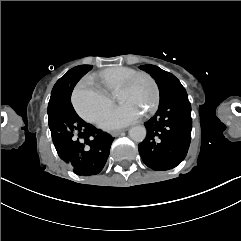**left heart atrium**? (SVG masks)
Masks as SVG:
<instances>
[{
  "label": "left heart atrium",
  "mask_w": 241,
  "mask_h": 241,
  "mask_svg": "<svg viewBox=\"0 0 241 241\" xmlns=\"http://www.w3.org/2000/svg\"><path fill=\"white\" fill-rule=\"evenodd\" d=\"M139 118V114L127 108H115L110 110L100 121L104 129H116L127 126Z\"/></svg>",
  "instance_id": "left-heart-atrium-1"
}]
</instances>
